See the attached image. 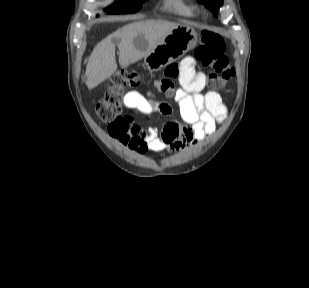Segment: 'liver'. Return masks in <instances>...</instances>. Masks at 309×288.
<instances>
[{"label": "liver", "mask_w": 309, "mask_h": 288, "mask_svg": "<svg viewBox=\"0 0 309 288\" xmlns=\"http://www.w3.org/2000/svg\"><path fill=\"white\" fill-rule=\"evenodd\" d=\"M178 25L164 20H140L107 36L96 45L88 60L85 73L88 88L96 87L116 72V45L119 49V64L129 66L152 52L160 39ZM139 35L147 42L145 49L137 48L134 43V39Z\"/></svg>", "instance_id": "liver-1"}]
</instances>
